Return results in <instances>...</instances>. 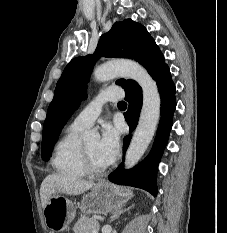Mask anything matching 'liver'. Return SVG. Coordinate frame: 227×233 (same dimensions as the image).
Segmentation results:
<instances>
[{
  "label": "liver",
  "instance_id": "6515ba94",
  "mask_svg": "<svg viewBox=\"0 0 227 233\" xmlns=\"http://www.w3.org/2000/svg\"><path fill=\"white\" fill-rule=\"evenodd\" d=\"M93 186V181L75 179L62 174H49L40 187L42 208L44 209L49 200L56 194L80 195Z\"/></svg>",
  "mask_w": 227,
  "mask_h": 233
}]
</instances>
